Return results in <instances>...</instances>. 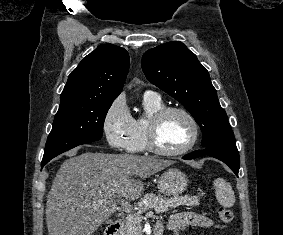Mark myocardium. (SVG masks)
<instances>
[{
    "label": "myocardium",
    "instance_id": "myocardium-1",
    "mask_svg": "<svg viewBox=\"0 0 283 235\" xmlns=\"http://www.w3.org/2000/svg\"><path fill=\"white\" fill-rule=\"evenodd\" d=\"M170 113H180L183 116H185L189 121L192 130L191 137L188 143L182 148L173 151L163 150L156 143V132L159 127V124ZM199 135H200L199 124L190 111L179 106H169L160 109L149 118L145 129V145L148 151L158 156L176 157L186 154L191 149H193L199 140Z\"/></svg>",
    "mask_w": 283,
    "mask_h": 235
}]
</instances>
